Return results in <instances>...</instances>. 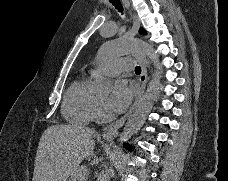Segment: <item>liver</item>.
Returning <instances> with one entry per match:
<instances>
[{
  "instance_id": "obj_1",
  "label": "liver",
  "mask_w": 228,
  "mask_h": 181,
  "mask_svg": "<svg viewBox=\"0 0 228 181\" xmlns=\"http://www.w3.org/2000/svg\"><path fill=\"white\" fill-rule=\"evenodd\" d=\"M93 129L77 125H52L44 131L35 157L32 181H67L91 155Z\"/></svg>"
}]
</instances>
